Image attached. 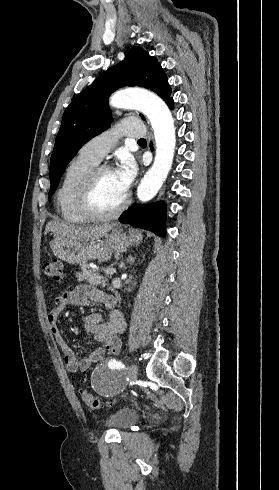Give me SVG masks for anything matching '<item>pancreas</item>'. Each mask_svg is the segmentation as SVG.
Here are the masks:
<instances>
[{"label":"pancreas","mask_w":279,"mask_h":490,"mask_svg":"<svg viewBox=\"0 0 279 490\" xmlns=\"http://www.w3.org/2000/svg\"><path fill=\"white\" fill-rule=\"evenodd\" d=\"M80 268L81 272H77L76 274L77 282H87V284H91V286H101V288L107 286V276H100L99 272L91 270V268H88L87 264H83ZM109 276L111 278L112 274H109Z\"/></svg>","instance_id":"obj_1"}]
</instances>
